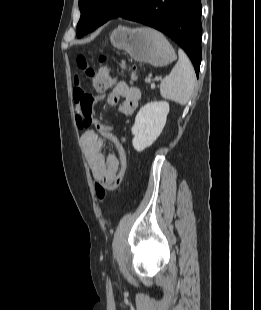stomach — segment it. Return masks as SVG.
I'll list each match as a JSON object with an SVG mask.
<instances>
[{
	"label": "stomach",
	"instance_id": "obj_1",
	"mask_svg": "<svg viewBox=\"0 0 261 310\" xmlns=\"http://www.w3.org/2000/svg\"><path fill=\"white\" fill-rule=\"evenodd\" d=\"M110 41L115 48L126 51L133 60L155 67L166 66L176 58L166 38L151 28L119 26L112 31Z\"/></svg>",
	"mask_w": 261,
	"mask_h": 310
}]
</instances>
